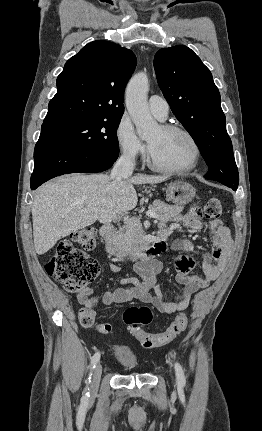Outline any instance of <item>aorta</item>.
Returning <instances> with one entry per match:
<instances>
[{"mask_svg":"<svg viewBox=\"0 0 262 431\" xmlns=\"http://www.w3.org/2000/svg\"><path fill=\"white\" fill-rule=\"evenodd\" d=\"M148 90V77L143 72L134 75L126 89V107L141 138L152 134L158 126L149 112L147 103Z\"/></svg>","mask_w":262,"mask_h":431,"instance_id":"aorta-1","label":"aorta"}]
</instances>
